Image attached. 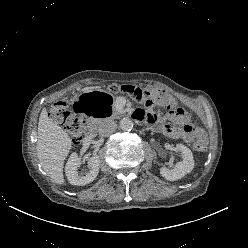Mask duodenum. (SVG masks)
Wrapping results in <instances>:
<instances>
[{
  "label": "duodenum",
  "instance_id": "410a0bca",
  "mask_svg": "<svg viewBox=\"0 0 248 248\" xmlns=\"http://www.w3.org/2000/svg\"><path fill=\"white\" fill-rule=\"evenodd\" d=\"M134 116H135V118L138 119V116H137L136 113H134ZM94 130H95V124H94V122L92 120L88 119V118L85 119V131H86L87 137L93 136Z\"/></svg>",
  "mask_w": 248,
  "mask_h": 248
}]
</instances>
